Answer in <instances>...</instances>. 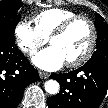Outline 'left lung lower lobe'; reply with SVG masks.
<instances>
[{"mask_svg":"<svg viewBox=\"0 0 108 108\" xmlns=\"http://www.w3.org/2000/svg\"><path fill=\"white\" fill-rule=\"evenodd\" d=\"M51 77L61 88L47 100L49 108H98L108 91V60H90L75 71Z\"/></svg>","mask_w":108,"mask_h":108,"instance_id":"obj_1","label":"left lung lower lobe"}]
</instances>
